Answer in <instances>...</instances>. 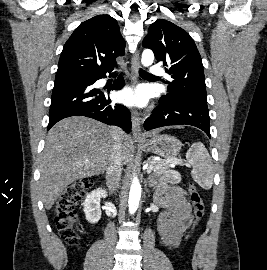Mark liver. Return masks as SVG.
<instances>
[{"label": "liver", "instance_id": "1", "mask_svg": "<svg viewBox=\"0 0 267 270\" xmlns=\"http://www.w3.org/2000/svg\"><path fill=\"white\" fill-rule=\"evenodd\" d=\"M113 136L114 127L83 116L65 118L50 129L41 156L39 180L47 210L68 185L107 170ZM121 156L122 164L131 156V138L125 134L121 137Z\"/></svg>", "mask_w": 267, "mask_h": 270}]
</instances>
